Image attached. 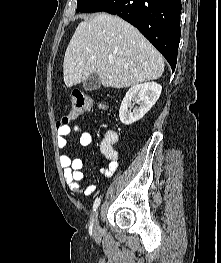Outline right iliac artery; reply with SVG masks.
I'll return each instance as SVG.
<instances>
[{"instance_id":"82829eb1","label":"right iliac artery","mask_w":221,"mask_h":263,"mask_svg":"<svg viewBox=\"0 0 221 263\" xmlns=\"http://www.w3.org/2000/svg\"><path fill=\"white\" fill-rule=\"evenodd\" d=\"M100 201L101 199L100 198H97L93 204V212H95L98 208V206L100 205ZM93 225V219H92V222H91V227Z\"/></svg>"}]
</instances>
